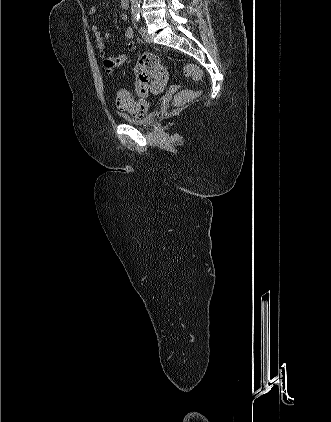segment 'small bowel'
Returning <instances> with one entry per match:
<instances>
[{"instance_id":"obj_1","label":"small bowel","mask_w":331,"mask_h":422,"mask_svg":"<svg viewBox=\"0 0 331 422\" xmlns=\"http://www.w3.org/2000/svg\"><path fill=\"white\" fill-rule=\"evenodd\" d=\"M121 5H122V2H121ZM96 12H97L96 6L95 5L91 6L89 10V14L91 16H94ZM121 19L126 20L127 15L122 14ZM91 31L94 36L96 46L99 50L100 58L105 68V71L107 74H112L115 68L124 65L129 60L131 53L135 49L136 42L134 41V30L132 27L126 28L124 32V36L127 40H129L128 45H127V51L119 55H112L106 51L105 40L109 38V33L103 32V30L98 25H92Z\"/></svg>"}]
</instances>
